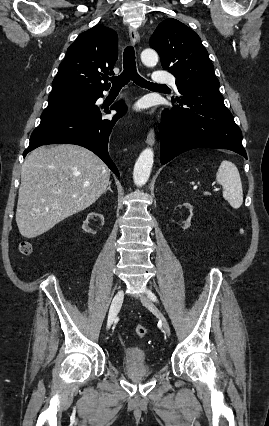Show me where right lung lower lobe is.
I'll return each instance as SVG.
<instances>
[{
  "label": "right lung lower lobe",
  "instance_id": "right-lung-lower-lobe-1",
  "mask_svg": "<svg viewBox=\"0 0 269 426\" xmlns=\"http://www.w3.org/2000/svg\"><path fill=\"white\" fill-rule=\"evenodd\" d=\"M102 96V92H98L93 102L84 108L41 120L33 131L23 156L42 145L76 144L98 155L119 177L118 169L108 154V140L113 126L126 113L127 108L123 101L115 103L111 109L118 113L113 118L104 119V115L110 112H103L95 104Z\"/></svg>",
  "mask_w": 269,
  "mask_h": 426
}]
</instances>
